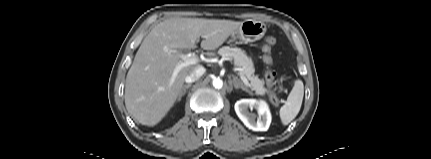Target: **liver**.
<instances>
[{"label": "liver", "mask_w": 431, "mask_h": 159, "mask_svg": "<svg viewBox=\"0 0 431 159\" xmlns=\"http://www.w3.org/2000/svg\"><path fill=\"white\" fill-rule=\"evenodd\" d=\"M242 22L202 18H171L157 24L141 43L127 73L125 106L140 124H158L178 98L187 75L198 64L183 67L168 87L175 67L182 61L180 50L201 48L214 51ZM214 55V52H208Z\"/></svg>", "instance_id": "1"}]
</instances>
